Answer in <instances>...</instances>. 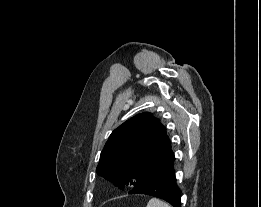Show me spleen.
Listing matches in <instances>:
<instances>
[{"mask_svg":"<svg viewBox=\"0 0 261 207\" xmlns=\"http://www.w3.org/2000/svg\"><path fill=\"white\" fill-rule=\"evenodd\" d=\"M147 207H171V206H169L167 203H165L159 199L152 198L148 202Z\"/></svg>","mask_w":261,"mask_h":207,"instance_id":"1","label":"spleen"}]
</instances>
